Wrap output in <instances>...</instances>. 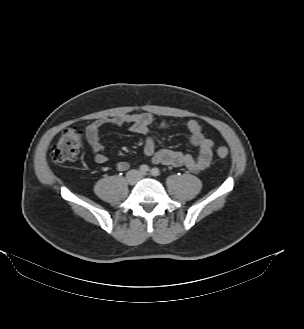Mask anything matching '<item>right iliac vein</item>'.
I'll list each match as a JSON object with an SVG mask.
<instances>
[{
  "label": "right iliac vein",
  "instance_id": "63e3f726",
  "mask_svg": "<svg viewBox=\"0 0 304 329\" xmlns=\"http://www.w3.org/2000/svg\"><path fill=\"white\" fill-rule=\"evenodd\" d=\"M127 182L133 185L136 182V172L132 171L127 175Z\"/></svg>",
  "mask_w": 304,
  "mask_h": 329
}]
</instances>
